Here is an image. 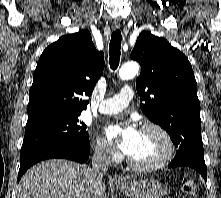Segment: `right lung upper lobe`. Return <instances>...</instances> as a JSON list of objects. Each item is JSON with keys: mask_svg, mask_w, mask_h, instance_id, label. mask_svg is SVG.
<instances>
[{"mask_svg": "<svg viewBox=\"0 0 221 198\" xmlns=\"http://www.w3.org/2000/svg\"><path fill=\"white\" fill-rule=\"evenodd\" d=\"M104 69V54L91 34L62 36L42 53L29 92L28 121L54 114H81ZM27 121V122H28Z\"/></svg>", "mask_w": 221, "mask_h": 198, "instance_id": "obj_1", "label": "right lung upper lobe"}]
</instances>
